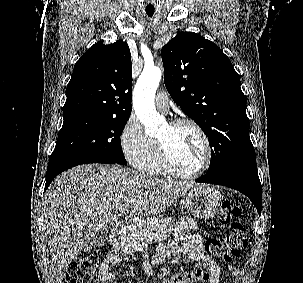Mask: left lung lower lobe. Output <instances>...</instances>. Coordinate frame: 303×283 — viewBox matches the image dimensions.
I'll return each instance as SVG.
<instances>
[{
    "mask_svg": "<svg viewBox=\"0 0 303 283\" xmlns=\"http://www.w3.org/2000/svg\"><path fill=\"white\" fill-rule=\"evenodd\" d=\"M236 189L246 195L261 214L262 188L258 176L256 157L232 165L221 171L206 174L195 180Z\"/></svg>",
    "mask_w": 303,
    "mask_h": 283,
    "instance_id": "left-lung-lower-lobe-1",
    "label": "left lung lower lobe"
}]
</instances>
